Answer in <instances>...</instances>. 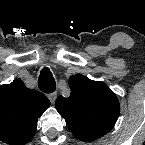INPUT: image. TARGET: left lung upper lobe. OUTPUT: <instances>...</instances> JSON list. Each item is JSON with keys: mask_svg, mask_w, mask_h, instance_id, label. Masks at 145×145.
Listing matches in <instances>:
<instances>
[{"mask_svg": "<svg viewBox=\"0 0 145 145\" xmlns=\"http://www.w3.org/2000/svg\"><path fill=\"white\" fill-rule=\"evenodd\" d=\"M71 95L59 96L56 109L74 131H109L119 112L115 93L103 82L76 74L69 78Z\"/></svg>", "mask_w": 145, "mask_h": 145, "instance_id": "1", "label": "left lung upper lobe"}]
</instances>
